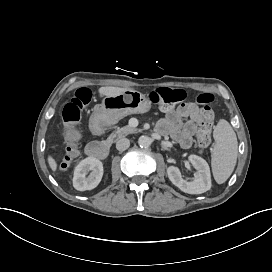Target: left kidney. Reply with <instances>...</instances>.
Returning a JSON list of instances; mask_svg holds the SVG:
<instances>
[{"instance_id":"1","label":"left kidney","mask_w":272,"mask_h":272,"mask_svg":"<svg viewBox=\"0 0 272 272\" xmlns=\"http://www.w3.org/2000/svg\"><path fill=\"white\" fill-rule=\"evenodd\" d=\"M188 159L197 170L194 173V180L191 182L184 180L180 170L175 166H170L167 169L170 181L181 191L189 194H201L210 190L211 174L208 163L197 155H190Z\"/></svg>"}]
</instances>
